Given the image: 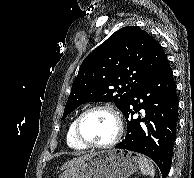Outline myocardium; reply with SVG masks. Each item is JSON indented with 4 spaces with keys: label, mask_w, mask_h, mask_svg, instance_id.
Returning <instances> with one entry per match:
<instances>
[{
    "label": "myocardium",
    "mask_w": 194,
    "mask_h": 178,
    "mask_svg": "<svg viewBox=\"0 0 194 178\" xmlns=\"http://www.w3.org/2000/svg\"><path fill=\"white\" fill-rule=\"evenodd\" d=\"M96 110H102L105 111L109 114H111L113 116V118L115 119L116 122V133L114 135V137L107 143H103V144H95V143H91L89 141H87L81 134V122L83 120V118L90 112L92 111H96ZM123 130H124V125H123V120L119 114V112L113 108L110 105H93L88 107L87 109H85L75 120V124H74V135L75 138L78 140V142H80L83 146L87 147V148H96V149H107V148H111L113 146H115L121 139L122 135H123Z\"/></svg>",
    "instance_id": "f54148a6"
}]
</instances>
